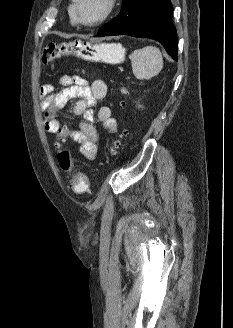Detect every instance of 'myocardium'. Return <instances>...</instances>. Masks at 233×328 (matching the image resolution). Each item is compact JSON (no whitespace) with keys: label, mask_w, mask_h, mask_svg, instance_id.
<instances>
[{"label":"myocardium","mask_w":233,"mask_h":328,"mask_svg":"<svg viewBox=\"0 0 233 328\" xmlns=\"http://www.w3.org/2000/svg\"><path fill=\"white\" fill-rule=\"evenodd\" d=\"M116 3L117 0H106V8L103 14L95 21L88 22L83 20L81 17L80 10H79L80 0H73V11H74L75 20L77 23L83 26H88V27L98 26L103 22H105L112 15V13L116 8Z\"/></svg>","instance_id":"myocardium-1"}]
</instances>
